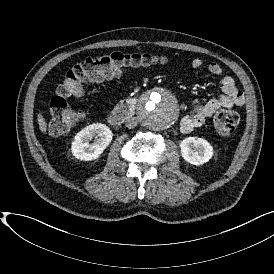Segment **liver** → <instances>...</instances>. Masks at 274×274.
<instances>
[{"instance_id":"liver-1","label":"liver","mask_w":274,"mask_h":274,"mask_svg":"<svg viewBox=\"0 0 274 274\" xmlns=\"http://www.w3.org/2000/svg\"><path fill=\"white\" fill-rule=\"evenodd\" d=\"M37 121H38L40 131L43 133V135H46L48 124H47V121H46L42 111H38Z\"/></svg>"}]
</instances>
